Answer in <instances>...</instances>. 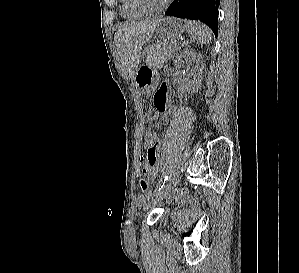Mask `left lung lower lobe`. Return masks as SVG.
Wrapping results in <instances>:
<instances>
[{
  "label": "left lung lower lobe",
  "instance_id": "obj_1",
  "mask_svg": "<svg viewBox=\"0 0 299 273\" xmlns=\"http://www.w3.org/2000/svg\"><path fill=\"white\" fill-rule=\"evenodd\" d=\"M220 0H174L165 15L199 20L218 35V7Z\"/></svg>",
  "mask_w": 299,
  "mask_h": 273
}]
</instances>
